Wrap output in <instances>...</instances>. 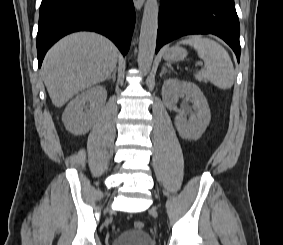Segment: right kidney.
Listing matches in <instances>:
<instances>
[{"label": "right kidney", "mask_w": 283, "mask_h": 245, "mask_svg": "<svg viewBox=\"0 0 283 245\" xmlns=\"http://www.w3.org/2000/svg\"><path fill=\"white\" fill-rule=\"evenodd\" d=\"M107 91L95 86L76 96L65 108L62 121L66 130L82 135L87 133L104 107Z\"/></svg>", "instance_id": "1"}]
</instances>
